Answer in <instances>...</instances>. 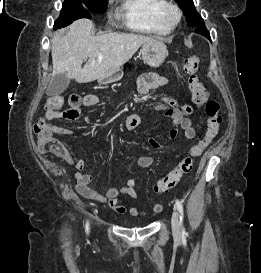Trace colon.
<instances>
[{
  "mask_svg": "<svg viewBox=\"0 0 261 273\" xmlns=\"http://www.w3.org/2000/svg\"><path fill=\"white\" fill-rule=\"evenodd\" d=\"M199 64L200 56L198 54L190 55L183 61V71L187 76V85L194 103L198 106L205 107L207 115L206 131L204 136L192 146L188 155L185 156L173 170L156 183L154 191L157 194L168 192L177 185L184 175L190 173L193 169V159L202 154L219 132L222 121L219 114V103L215 100L208 99L205 85L198 75ZM69 105V108L63 110L64 98L60 95H54L47 100L46 111L58 109L63 111L64 119L74 120L80 114L81 98L78 95H72L69 98ZM34 134L41 151L54 154L61 153L62 144L53 137V133L48 129L45 120H40L34 125Z\"/></svg>",
  "mask_w": 261,
  "mask_h": 273,
  "instance_id": "1",
  "label": "colon"
}]
</instances>
